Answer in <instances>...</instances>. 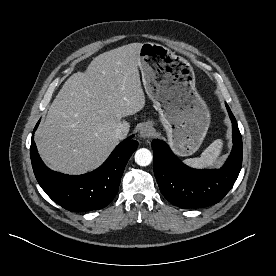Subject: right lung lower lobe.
<instances>
[{
    "instance_id": "98d812e1",
    "label": "right lung lower lobe",
    "mask_w": 276,
    "mask_h": 276,
    "mask_svg": "<svg viewBox=\"0 0 276 276\" xmlns=\"http://www.w3.org/2000/svg\"><path fill=\"white\" fill-rule=\"evenodd\" d=\"M37 123L35 130L38 127ZM133 136L121 142L102 166L93 172L70 176L50 170L42 162L33 141L30 157L35 177L46 194L66 210L83 212L106 207L118 192L121 176L138 147Z\"/></svg>"
}]
</instances>
